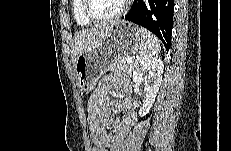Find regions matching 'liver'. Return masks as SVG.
Returning a JSON list of instances; mask_svg holds the SVG:
<instances>
[{"instance_id":"liver-1","label":"liver","mask_w":231,"mask_h":151,"mask_svg":"<svg viewBox=\"0 0 231 151\" xmlns=\"http://www.w3.org/2000/svg\"><path fill=\"white\" fill-rule=\"evenodd\" d=\"M115 22L103 24L91 29H85L77 32L74 36L72 45V63L75 67L77 58L88 50L101 44V42L110 33Z\"/></svg>"}]
</instances>
